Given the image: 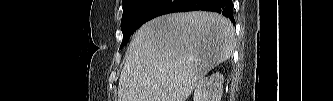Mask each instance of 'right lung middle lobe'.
<instances>
[{"label": "right lung middle lobe", "instance_id": "right-lung-middle-lobe-1", "mask_svg": "<svg viewBox=\"0 0 333 101\" xmlns=\"http://www.w3.org/2000/svg\"><path fill=\"white\" fill-rule=\"evenodd\" d=\"M149 1L150 0H123V15L121 20L123 41L120 48L126 45L131 34L137 30L135 27L136 20Z\"/></svg>", "mask_w": 333, "mask_h": 101}]
</instances>
